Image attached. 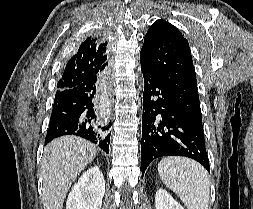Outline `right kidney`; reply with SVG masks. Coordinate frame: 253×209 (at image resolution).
<instances>
[{"label": "right kidney", "instance_id": "1", "mask_svg": "<svg viewBox=\"0 0 253 209\" xmlns=\"http://www.w3.org/2000/svg\"><path fill=\"white\" fill-rule=\"evenodd\" d=\"M104 193V176L97 165L93 166L82 174L72 188L66 209H101Z\"/></svg>", "mask_w": 253, "mask_h": 209}]
</instances>
